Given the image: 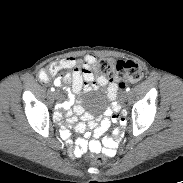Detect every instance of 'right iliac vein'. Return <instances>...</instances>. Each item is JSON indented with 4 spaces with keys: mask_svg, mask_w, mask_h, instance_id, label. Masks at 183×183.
Returning <instances> with one entry per match:
<instances>
[{
    "mask_svg": "<svg viewBox=\"0 0 183 183\" xmlns=\"http://www.w3.org/2000/svg\"><path fill=\"white\" fill-rule=\"evenodd\" d=\"M54 96H55V98H59L61 96V94L59 91H55Z\"/></svg>",
    "mask_w": 183,
    "mask_h": 183,
    "instance_id": "obj_1",
    "label": "right iliac vein"
}]
</instances>
